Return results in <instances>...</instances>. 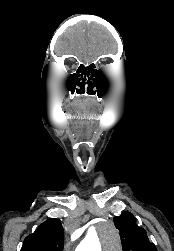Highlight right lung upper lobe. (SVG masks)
I'll return each mask as SVG.
<instances>
[{"instance_id": "1", "label": "right lung upper lobe", "mask_w": 174, "mask_h": 251, "mask_svg": "<svg viewBox=\"0 0 174 251\" xmlns=\"http://www.w3.org/2000/svg\"><path fill=\"white\" fill-rule=\"evenodd\" d=\"M63 240L61 221L50 218L25 238L21 251H63Z\"/></svg>"}]
</instances>
